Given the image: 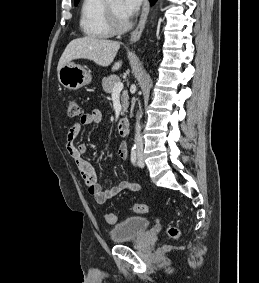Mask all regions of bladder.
<instances>
[{"mask_svg":"<svg viewBox=\"0 0 259 283\" xmlns=\"http://www.w3.org/2000/svg\"><path fill=\"white\" fill-rule=\"evenodd\" d=\"M149 228V219L144 217H128L111 229V238L114 242L131 240L148 231Z\"/></svg>","mask_w":259,"mask_h":283,"instance_id":"bladder-1","label":"bladder"}]
</instances>
